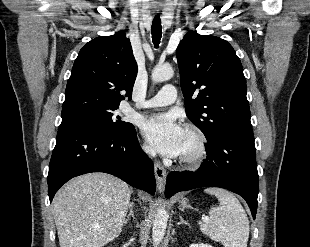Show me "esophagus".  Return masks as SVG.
<instances>
[{
	"mask_svg": "<svg viewBox=\"0 0 310 247\" xmlns=\"http://www.w3.org/2000/svg\"><path fill=\"white\" fill-rule=\"evenodd\" d=\"M155 177L157 181V187L159 191H162L166 182V170L165 168L158 162L154 164Z\"/></svg>",
	"mask_w": 310,
	"mask_h": 247,
	"instance_id": "esophagus-1",
	"label": "esophagus"
}]
</instances>
